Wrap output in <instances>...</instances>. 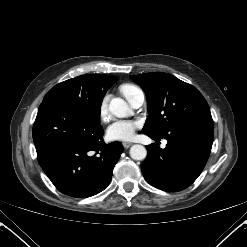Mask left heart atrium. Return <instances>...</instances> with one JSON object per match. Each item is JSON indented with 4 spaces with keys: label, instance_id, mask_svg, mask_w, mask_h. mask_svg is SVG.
Returning a JSON list of instances; mask_svg holds the SVG:
<instances>
[{
    "label": "left heart atrium",
    "instance_id": "39dd6f15",
    "mask_svg": "<svg viewBox=\"0 0 247 247\" xmlns=\"http://www.w3.org/2000/svg\"><path fill=\"white\" fill-rule=\"evenodd\" d=\"M140 123L136 120H117L107 129V137L113 141H128L134 136Z\"/></svg>",
    "mask_w": 247,
    "mask_h": 247
}]
</instances>
